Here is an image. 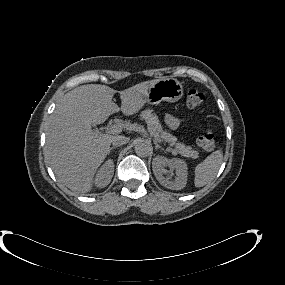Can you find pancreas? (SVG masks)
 <instances>
[{"instance_id":"obj_1","label":"pancreas","mask_w":285,"mask_h":285,"mask_svg":"<svg viewBox=\"0 0 285 285\" xmlns=\"http://www.w3.org/2000/svg\"><path fill=\"white\" fill-rule=\"evenodd\" d=\"M139 117L148 125V130L151 135L155 138H158L165 143H168L170 146L175 147V151L186 158L195 159L198 157V152L193 150L190 146H187L183 143L177 141V138L163 129L159 118L156 114H153L151 110L146 109L142 111Z\"/></svg>"}]
</instances>
